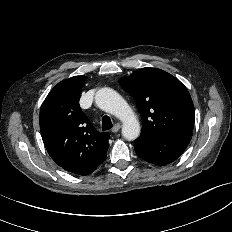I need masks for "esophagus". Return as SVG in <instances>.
Wrapping results in <instances>:
<instances>
[{"label": "esophagus", "mask_w": 232, "mask_h": 232, "mask_svg": "<svg viewBox=\"0 0 232 232\" xmlns=\"http://www.w3.org/2000/svg\"><path fill=\"white\" fill-rule=\"evenodd\" d=\"M121 128V125L119 123L115 124L114 127L112 128L113 133H117Z\"/></svg>", "instance_id": "esophagus-1"}]
</instances>
